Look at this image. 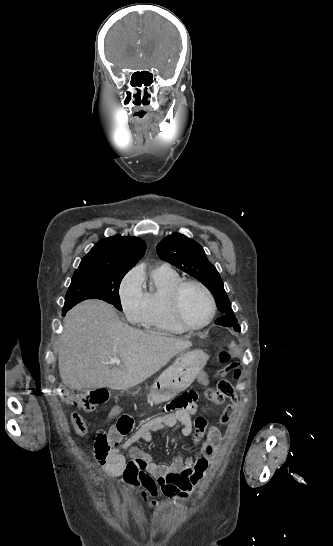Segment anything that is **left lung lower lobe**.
<instances>
[{"mask_svg":"<svg viewBox=\"0 0 333 546\" xmlns=\"http://www.w3.org/2000/svg\"><path fill=\"white\" fill-rule=\"evenodd\" d=\"M236 322H237L236 318L223 316L222 318L217 319L215 323L217 325H221L225 327H233L235 331L240 332V326L236 324Z\"/></svg>","mask_w":333,"mask_h":546,"instance_id":"left-lung-lower-lobe-1","label":"left lung lower lobe"}]
</instances>
